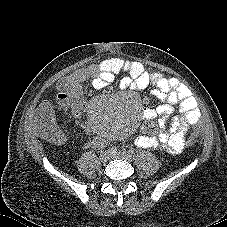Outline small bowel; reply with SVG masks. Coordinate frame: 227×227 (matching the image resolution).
Returning <instances> with one entry per match:
<instances>
[{
  "label": "small bowel",
  "instance_id": "c3829d8e",
  "mask_svg": "<svg viewBox=\"0 0 227 227\" xmlns=\"http://www.w3.org/2000/svg\"><path fill=\"white\" fill-rule=\"evenodd\" d=\"M119 72L126 73L120 81L121 87L141 90L153 85V95L161 102L156 108L143 111L142 118L145 121L156 123L149 125L136 137V145L141 148H160L170 154L180 153L188 127L197 123L201 116L197 101L185 84L159 72H149L140 62L112 58L76 70L57 84L60 105L66 107L71 99L81 98L87 80H91L95 89H103L114 81ZM176 106L180 108L181 114L171 119ZM40 111L51 115L52 106L45 102Z\"/></svg>",
  "mask_w": 227,
  "mask_h": 227
}]
</instances>
